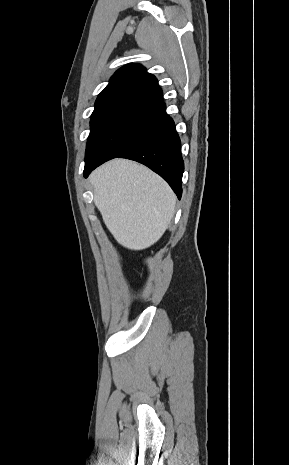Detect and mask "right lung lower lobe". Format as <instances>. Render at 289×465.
Instances as JSON below:
<instances>
[{"instance_id": "98d812e1", "label": "right lung lower lobe", "mask_w": 289, "mask_h": 465, "mask_svg": "<svg viewBox=\"0 0 289 465\" xmlns=\"http://www.w3.org/2000/svg\"><path fill=\"white\" fill-rule=\"evenodd\" d=\"M117 157L135 160L148 166L166 180L177 197L181 198L184 172L181 142L175 130L174 121L165 111ZM106 161H86L84 177H87L92 170Z\"/></svg>"}]
</instances>
